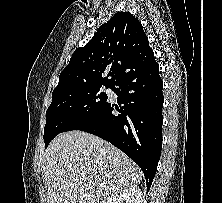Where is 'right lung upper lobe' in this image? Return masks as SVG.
Masks as SVG:
<instances>
[{"label": "right lung upper lobe", "instance_id": "obj_1", "mask_svg": "<svg viewBox=\"0 0 222 203\" xmlns=\"http://www.w3.org/2000/svg\"><path fill=\"white\" fill-rule=\"evenodd\" d=\"M152 60L154 52L139 20L129 12H117L84 47L75 50L53 92L84 85L111 86Z\"/></svg>", "mask_w": 222, "mask_h": 203}]
</instances>
